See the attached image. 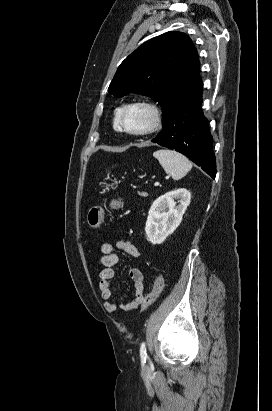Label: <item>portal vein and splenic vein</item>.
<instances>
[{
    "instance_id": "1",
    "label": "portal vein and splenic vein",
    "mask_w": 272,
    "mask_h": 411,
    "mask_svg": "<svg viewBox=\"0 0 272 411\" xmlns=\"http://www.w3.org/2000/svg\"><path fill=\"white\" fill-rule=\"evenodd\" d=\"M168 178H169V177L167 176L166 179H168ZM159 185H160L159 182H155V183H154V186H159Z\"/></svg>"
}]
</instances>
